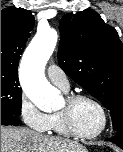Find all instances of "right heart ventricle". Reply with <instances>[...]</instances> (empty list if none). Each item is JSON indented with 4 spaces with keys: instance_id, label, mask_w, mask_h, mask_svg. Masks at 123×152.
I'll use <instances>...</instances> for the list:
<instances>
[{
    "instance_id": "1",
    "label": "right heart ventricle",
    "mask_w": 123,
    "mask_h": 152,
    "mask_svg": "<svg viewBox=\"0 0 123 152\" xmlns=\"http://www.w3.org/2000/svg\"><path fill=\"white\" fill-rule=\"evenodd\" d=\"M51 117V125H50V131H53L54 133L61 135V136H70V134L65 129L61 116L59 112L53 113L50 115Z\"/></svg>"
}]
</instances>
